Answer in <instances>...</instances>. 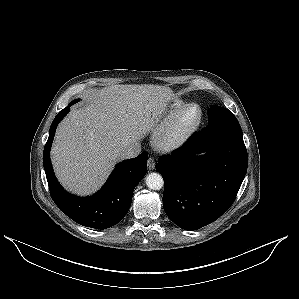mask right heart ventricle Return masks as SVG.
Segmentation results:
<instances>
[{"label": "right heart ventricle", "mask_w": 299, "mask_h": 299, "mask_svg": "<svg viewBox=\"0 0 299 299\" xmlns=\"http://www.w3.org/2000/svg\"><path fill=\"white\" fill-rule=\"evenodd\" d=\"M186 103L183 100L177 99L173 101L169 110V117L171 118L176 112H178Z\"/></svg>", "instance_id": "1"}]
</instances>
